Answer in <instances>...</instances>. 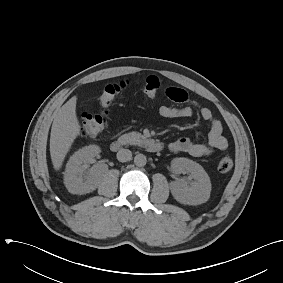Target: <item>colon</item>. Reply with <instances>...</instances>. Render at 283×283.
Instances as JSON below:
<instances>
[{"instance_id": "1", "label": "colon", "mask_w": 283, "mask_h": 283, "mask_svg": "<svg viewBox=\"0 0 283 283\" xmlns=\"http://www.w3.org/2000/svg\"><path fill=\"white\" fill-rule=\"evenodd\" d=\"M127 83L120 82L105 86L99 94L98 100L102 107L99 114L83 113L80 120V133L84 136H98L107 125V109L111 106L115 97L126 87ZM160 88V81L156 76H149L142 84L143 92L148 96H154ZM233 167L232 158L224 155L218 162V171L226 173Z\"/></svg>"}]
</instances>
